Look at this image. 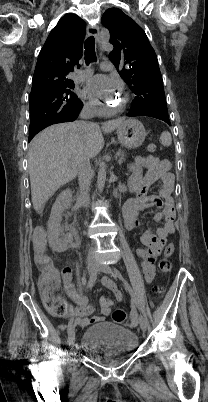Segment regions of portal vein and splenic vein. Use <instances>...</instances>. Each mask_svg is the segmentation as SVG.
Returning <instances> with one entry per match:
<instances>
[{
	"label": "portal vein and splenic vein",
	"mask_w": 208,
	"mask_h": 402,
	"mask_svg": "<svg viewBox=\"0 0 208 402\" xmlns=\"http://www.w3.org/2000/svg\"><path fill=\"white\" fill-rule=\"evenodd\" d=\"M116 157H117V158H120V157H121V154H120V153H117V154H116Z\"/></svg>",
	"instance_id": "portal-vein-and-splenic-vein-1"
}]
</instances>
